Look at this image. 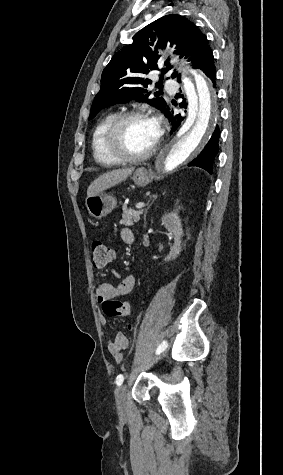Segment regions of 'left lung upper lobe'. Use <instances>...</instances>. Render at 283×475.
I'll return each mask as SVG.
<instances>
[{
    "label": "left lung upper lobe",
    "instance_id": "left-lung-upper-lobe-1",
    "mask_svg": "<svg viewBox=\"0 0 283 475\" xmlns=\"http://www.w3.org/2000/svg\"><path fill=\"white\" fill-rule=\"evenodd\" d=\"M167 42L176 44L175 52L181 53L180 57H189L188 61L193 63L194 68H198L212 55L206 36L187 18L170 14L155 20L137 32L133 43L118 51L103 70L100 91L94 98L89 120L109 105L132 100L147 102L164 111L168 104L163 98H148L151 93L145 88L152 82L145 75L151 70H159L157 48L165 47ZM155 43L156 50L153 51ZM164 66L160 83H156L158 88L164 73L171 69L168 60ZM171 77L179 78L180 75L174 72Z\"/></svg>",
    "mask_w": 283,
    "mask_h": 475
}]
</instances>
